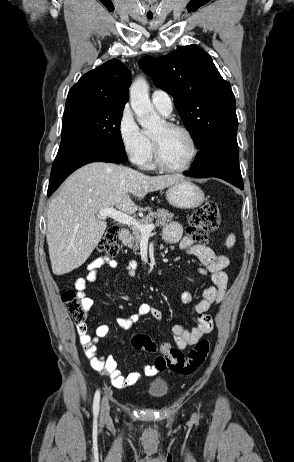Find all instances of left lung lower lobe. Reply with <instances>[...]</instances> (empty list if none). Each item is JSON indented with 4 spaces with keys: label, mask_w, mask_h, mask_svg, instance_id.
<instances>
[{
    "label": "left lung lower lobe",
    "mask_w": 294,
    "mask_h": 462,
    "mask_svg": "<svg viewBox=\"0 0 294 462\" xmlns=\"http://www.w3.org/2000/svg\"><path fill=\"white\" fill-rule=\"evenodd\" d=\"M238 158L239 149L236 136H227L200 149L191 169L184 174L197 178L217 177L243 190Z\"/></svg>",
    "instance_id": "obj_1"
}]
</instances>
